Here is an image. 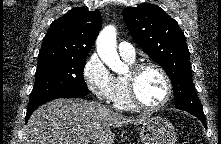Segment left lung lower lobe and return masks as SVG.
<instances>
[{
    "mask_svg": "<svg viewBox=\"0 0 221 144\" xmlns=\"http://www.w3.org/2000/svg\"><path fill=\"white\" fill-rule=\"evenodd\" d=\"M184 111H187L193 114L194 116H196L197 118H199L201 122L203 123V125L206 127V120H205V115L203 112H195V111H190V110H184Z\"/></svg>",
    "mask_w": 221,
    "mask_h": 144,
    "instance_id": "obj_1",
    "label": "left lung lower lobe"
}]
</instances>
